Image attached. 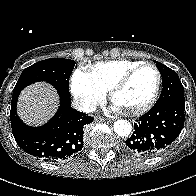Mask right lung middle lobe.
<instances>
[{
	"instance_id": "1",
	"label": "right lung middle lobe",
	"mask_w": 196,
	"mask_h": 196,
	"mask_svg": "<svg viewBox=\"0 0 196 196\" xmlns=\"http://www.w3.org/2000/svg\"><path fill=\"white\" fill-rule=\"evenodd\" d=\"M75 61L70 59L52 58L37 62L23 70L13 94L20 92L26 86L45 81L52 84L57 91L70 95L69 77L74 69Z\"/></svg>"
}]
</instances>
